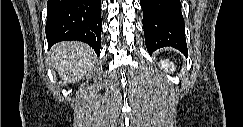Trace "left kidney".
I'll return each mask as SVG.
<instances>
[{
  "mask_svg": "<svg viewBox=\"0 0 243 127\" xmlns=\"http://www.w3.org/2000/svg\"><path fill=\"white\" fill-rule=\"evenodd\" d=\"M160 63H161V67L166 71L175 70V65L172 62H169L168 60H163Z\"/></svg>",
  "mask_w": 243,
  "mask_h": 127,
  "instance_id": "obj_1",
  "label": "left kidney"
}]
</instances>
